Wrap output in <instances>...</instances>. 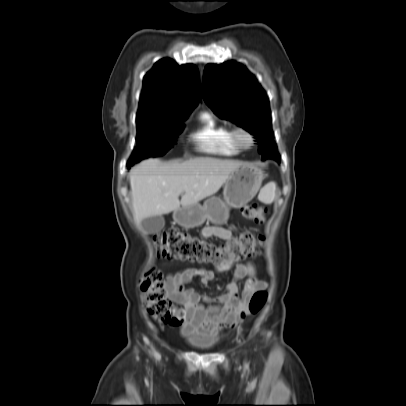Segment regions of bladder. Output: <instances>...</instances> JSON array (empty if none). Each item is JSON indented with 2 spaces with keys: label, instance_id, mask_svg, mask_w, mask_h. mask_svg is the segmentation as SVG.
<instances>
[{
  "label": "bladder",
  "instance_id": "bladder-1",
  "mask_svg": "<svg viewBox=\"0 0 406 406\" xmlns=\"http://www.w3.org/2000/svg\"><path fill=\"white\" fill-rule=\"evenodd\" d=\"M186 341L191 348L198 351L210 350L216 344V342L211 338H204L196 335L188 336Z\"/></svg>",
  "mask_w": 406,
  "mask_h": 406
}]
</instances>
